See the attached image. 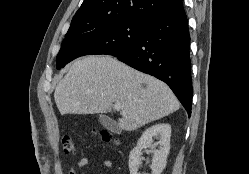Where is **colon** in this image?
<instances>
[{"label":"colon","mask_w":249,"mask_h":174,"mask_svg":"<svg viewBox=\"0 0 249 174\" xmlns=\"http://www.w3.org/2000/svg\"><path fill=\"white\" fill-rule=\"evenodd\" d=\"M100 140L105 144H117L118 140L113 137L112 133L107 130H102L98 133ZM62 146L65 154L74 155L77 152L76 145L71 137L64 136L62 138Z\"/></svg>","instance_id":"1"}]
</instances>
